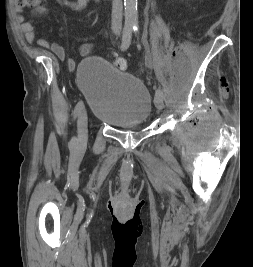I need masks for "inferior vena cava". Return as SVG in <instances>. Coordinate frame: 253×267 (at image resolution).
Masks as SVG:
<instances>
[{"label":"inferior vena cava","mask_w":253,"mask_h":267,"mask_svg":"<svg viewBox=\"0 0 253 267\" xmlns=\"http://www.w3.org/2000/svg\"><path fill=\"white\" fill-rule=\"evenodd\" d=\"M123 18L122 0H113L112 14H111V28L112 30H121Z\"/></svg>","instance_id":"1"}]
</instances>
